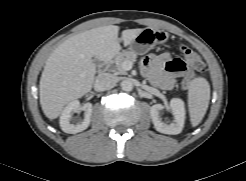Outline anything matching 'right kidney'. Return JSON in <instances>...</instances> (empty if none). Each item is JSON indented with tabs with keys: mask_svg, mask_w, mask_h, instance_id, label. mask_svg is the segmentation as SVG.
Returning a JSON list of instances; mask_svg holds the SVG:
<instances>
[{
	"mask_svg": "<svg viewBox=\"0 0 246 181\" xmlns=\"http://www.w3.org/2000/svg\"><path fill=\"white\" fill-rule=\"evenodd\" d=\"M93 106L91 103H85L83 106H80L78 100L70 102L62 111L59 124L65 133L76 134L87 129L92 115ZM84 111V119H72L73 113H79ZM72 121V122H71Z\"/></svg>",
	"mask_w": 246,
	"mask_h": 181,
	"instance_id": "ca27d5eb",
	"label": "right kidney"
}]
</instances>
